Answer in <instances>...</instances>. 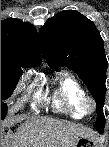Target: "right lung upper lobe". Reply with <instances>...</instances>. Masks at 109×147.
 <instances>
[{"label": "right lung upper lobe", "mask_w": 109, "mask_h": 147, "mask_svg": "<svg viewBox=\"0 0 109 147\" xmlns=\"http://www.w3.org/2000/svg\"><path fill=\"white\" fill-rule=\"evenodd\" d=\"M41 62L39 38L35 28L19 19L1 21V65L38 66Z\"/></svg>", "instance_id": "obj_1"}]
</instances>
